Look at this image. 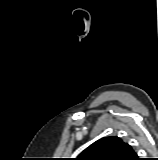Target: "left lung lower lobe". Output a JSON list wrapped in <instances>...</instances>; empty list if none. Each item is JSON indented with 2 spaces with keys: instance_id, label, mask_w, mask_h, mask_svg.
Segmentation results:
<instances>
[{
  "instance_id": "1",
  "label": "left lung lower lobe",
  "mask_w": 158,
  "mask_h": 160,
  "mask_svg": "<svg viewBox=\"0 0 158 160\" xmlns=\"http://www.w3.org/2000/svg\"><path fill=\"white\" fill-rule=\"evenodd\" d=\"M132 160H140V158H138V156L136 154L135 157Z\"/></svg>"
}]
</instances>
